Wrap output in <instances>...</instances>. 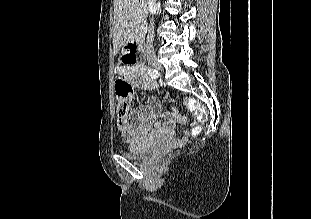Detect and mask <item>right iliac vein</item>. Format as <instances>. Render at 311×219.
<instances>
[{
  "label": "right iliac vein",
  "mask_w": 311,
  "mask_h": 219,
  "mask_svg": "<svg viewBox=\"0 0 311 219\" xmlns=\"http://www.w3.org/2000/svg\"><path fill=\"white\" fill-rule=\"evenodd\" d=\"M148 62L149 64L154 67L157 70H161L162 69V65L161 63L158 61L157 57L154 55H150L148 56Z\"/></svg>",
  "instance_id": "1"
}]
</instances>
